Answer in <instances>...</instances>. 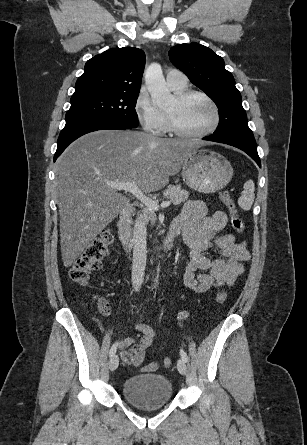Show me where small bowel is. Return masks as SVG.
<instances>
[{
  "instance_id": "obj_1",
  "label": "small bowel",
  "mask_w": 307,
  "mask_h": 445,
  "mask_svg": "<svg viewBox=\"0 0 307 445\" xmlns=\"http://www.w3.org/2000/svg\"><path fill=\"white\" fill-rule=\"evenodd\" d=\"M227 224V214L220 210L212 214L202 201L189 200L182 212L175 217L171 227L182 235L190 248V260L185 268V288L202 294L212 288L231 286L244 272V264L250 258L245 241H237L233 234H220ZM187 317L182 311L178 321ZM141 332L138 338H126L120 344L121 360L139 367L146 351L155 338L154 329L142 322L137 324Z\"/></svg>"
}]
</instances>
